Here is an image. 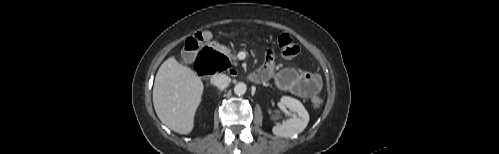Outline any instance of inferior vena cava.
Segmentation results:
<instances>
[{
	"label": "inferior vena cava",
	"mask_w": 499,
	"mask_h": 154,
	"mask_svg": "<svg viewBox=\"0 0 499 154\" xmlns=\"http://www.w3.org/2000/svg\"><path fill=\"white\" fill-rule=\"evenodd\" d=\"M230 82V77L224 74H217L211 78V83L217 87H226Z\"/></svg>",
	"instance_id": "1"
}]
</instances>
